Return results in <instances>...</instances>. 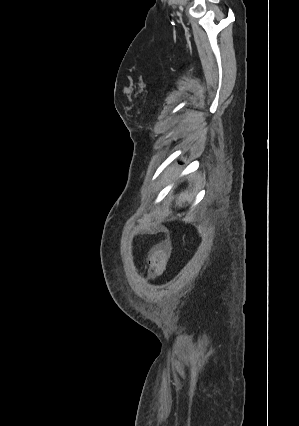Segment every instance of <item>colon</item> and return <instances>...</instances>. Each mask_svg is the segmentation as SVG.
Instances as JSON below:
<instances>
[{
    "label": "colon",
    "mask_w": 299,
    "mask_h": 426,
    "mask_svg": "<svg viewBox=\"0 0 299 426\" xmlns=\"http://www.w3.org/2000/svg\"><path fill=\"white\" fill-rule=\"evenodd\" d=\"M149 263L154 276L163 274L167 263L166 245H159L151 251Z\"/></svg>",
    "instance_id": "colon-1"
}]
</instances>
